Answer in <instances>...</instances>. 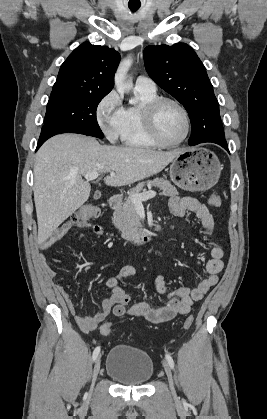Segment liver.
Returning a JSON list of instances; mask_svg holds the SVG:
<instances>
[{
    "label": "liver",
    "mask_w": 267,
    "mask_h": 419,
    "mask_svg": "<svg viewBox=\"0 0 267 419\" xmlns=\"http://www.w3.org/2000/svg\"><path fill=\"white\" fill-rule=\"evenodd\" d=\"M182 152L101 145L79 134L50 138L38 150L34 164L38 243H44L88 200L91 185L82 175L114 172L115 176L104 178L105 184L124 186L159 173Z\"/></svg>",
    "instance_id": "1"
}]
</instances>
